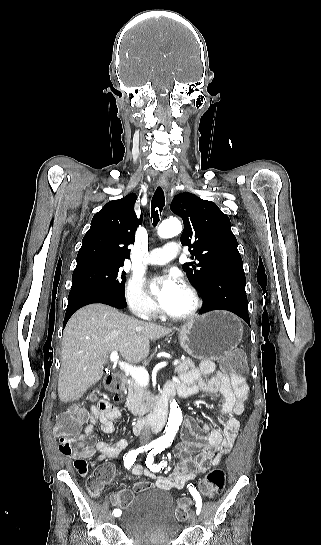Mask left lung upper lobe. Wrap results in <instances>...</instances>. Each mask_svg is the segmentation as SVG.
Segmentation results:
<instances>
[{
	"label": "left lung upper lobe",
	"mask_w": 321,
	"mask_h": 545,
	"mask_svg": "<svg viewBox=\"0 0 321 545\" xmlns=\"http://www.w3.org/2000/svg\"><path fill=\"white\" fill-rule=\"evenodd\" d=\"M170 209L183 219L181 243L189 246L191 259L198 261L185 263L183 270L200 290L214 273L243 266L230 219L215 203L181 193L174 197Z\"/></svg>",
	"instance_id": "5c2ea615"
}]
</instances>
